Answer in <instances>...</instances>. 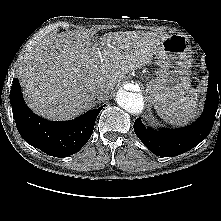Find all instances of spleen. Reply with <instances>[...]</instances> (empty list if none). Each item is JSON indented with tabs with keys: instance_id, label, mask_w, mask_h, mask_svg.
Returning <instances> with one entry per match:
<instances>
[{
	"instance_id": "spleen-1",
	"label": "spleen",
	"mask_w": 221,
	"mask_h": 221,
	"mask_svg": "<svg viewBox=\"0 0 221 221\" xmlns=\"http://www.w3.org/2000/svg\"><path fill=\"white\" fill-rule=\"evenodd\" d=\"M197 94L192 92L178 103L155 107L158 115L171 125H183L195 118L197 111Z\"/></svg>"
}]
</instances>
